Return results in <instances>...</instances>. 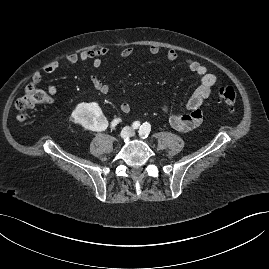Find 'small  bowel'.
<instances>
[{
  "label": "small bowel",
  "instance_id": "obj_1",
  "mask_svg": "<svg viewBox=\"0 0 269 269\" xmlns=\"http://www.w3.org/2000/svg\"><path fill=\"white\" fill-rule=\"evenodd\" d=\"M132 47H126L119 53V58L125 59L133 54ZM150 54H158L160 48L156 45H151L148 48ZM110 49L106 46L97 49H86L80 53H71L66 55L60 61H52L43 67V73L51 74L59 70L64 66L74 65L76 63H91L94 68H99L103 64V58L107 56ZM166 59L169 62H175L179 59V55L176 50L168 49L166 52ZM183 63L187 69L193 74L197 75L200 79L199 85L194 90L190 98L186 103V111L183 113H171L169 115V123L175 129L187 132L197 127L202 121V111L200 109L205 99L210 97L213 88L218 81L216 74L209 72L207 67L194 59H183ZM42 81V72L37 71L31 77L32 84L38 86ZM91 83L100 93L108 94L110 92V86L105 83L101 78L96 75L91 77ZM57 87L55 85H49L46 90V99L44 102H52L54 96L57 94ZM121 112L128 114L131 112V105L127 101H122L119 104ZM118 122V121H117Z\"/></svg>",
  "mask_w": 269,
  "mask_h": 269
}]
</instances>
